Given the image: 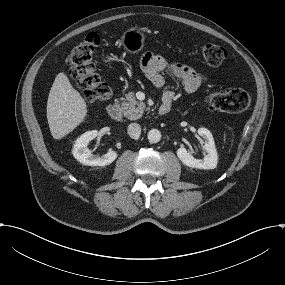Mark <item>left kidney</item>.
<instances>
[{
    "mask_svg": "<svg viewBox=\"0 0 285 285\" xmlns=\"http://www.w3.org/2000/svg\"><path fill=\"white\" fill-rule=\"evenodd\" d=\"M198 134L206 139L204 149L207 155L202 160L195 159L185 148L181 147L177 150V156L186 166L198 169H214L217 166L218 155L213 136L206 128H199Z\"/></svg>",
    "mask_w": 285,
    "mask_h": 285,
    "instance_id": "obj_1",
    "label": "left kidney"
}]
</instances>
